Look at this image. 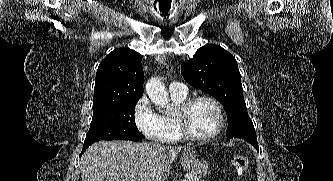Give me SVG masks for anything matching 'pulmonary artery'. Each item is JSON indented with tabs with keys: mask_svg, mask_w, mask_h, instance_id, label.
<instances>
[{
	"mask_svg": "<svg viewBox=\"0 0 333 181\" xmlns=\"http://www.w3.org/2000/svg\"><path fill=\"white\" fill-rule=\"evenodd\" d=\"M169 91L171 95L183 96L187 94V87L181 82H172Z\"/></svg>",
	"mask_w": 333,
	"mask_h": 181,
	"instance_id": "obj_1",
	"label": "pulmonary artery"
}]
</instances>
